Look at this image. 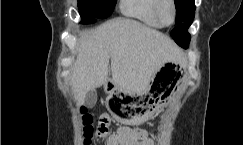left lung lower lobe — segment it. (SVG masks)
<instances>
[{
  "instance_id": "left-lung-lower-lobe-1",
  "label": "left lung lower lobe",
  "mask_w": 243,
  "mask_h": 145,
  "mask_svg": "<svg viewBox=\"0 0 243 145\" xmlns=\"http://www.w3.org/2000/svg\"><path fill=\"white\" fill-rule=\"evenodd\" d=\"M190 42V36L188 37V39H186L185 41H182L180 43H178L180 46H182L183 48H187L188 44Z\"/></svg>"
}]
</instances>
